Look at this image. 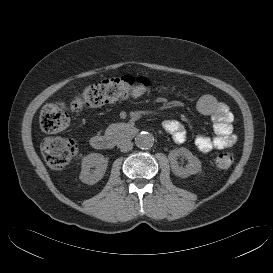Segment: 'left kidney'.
I'll use <instances>...</instances> for the list:
<instances>
[{
	"label": "left kidney",
	"mask_w": 273,
	"mask_h": 273,
	"mask_svg": "<svg viewBox=\"0 0 273 273\" xmlns=\"http://www.w3.org/2000/svg\"><path fill=\"white\" fill-rule=\"evenodd\" d=\"M179 156L188 160V164L185 167L179 166L177 162ZM169 160L172 172L181 178H187L201 170L200 160L184 147L172 150L169 153Z\"/></svg>",
	"instance_id": "left-kidney-1"
}]
</instances>
